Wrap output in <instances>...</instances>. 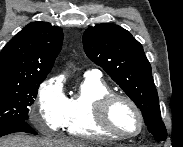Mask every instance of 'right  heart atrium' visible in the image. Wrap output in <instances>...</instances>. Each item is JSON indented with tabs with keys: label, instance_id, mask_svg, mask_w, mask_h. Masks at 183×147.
<instances>
[{
	"label": "right heart atrium",
	"instance_id": "d8ad5b80",
	"mask_svg": "<svg viewBox=\"0 0 183 147\" xmlns=\"http://www.w3.org/2000/svg\"><path fill=\"white\" fill-rule=\"evenodd\" d=\"M67 97L63 83L58 77L43 81L37 93L36 123H42L49 129L59 130L64 125Z\"/></svg>",
	"mask_w": 183,
	"mask_h": 147
}]
</instances>
